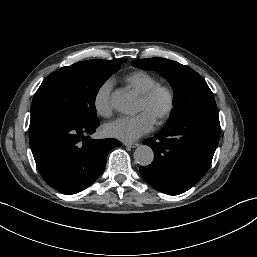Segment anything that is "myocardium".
I'll use <instances>...</instances> for the list:
<instances>
[{"mask_svg": "<svg viewBox=\"0 0 257 257\" xmlns=\"http://www.w3.org/2000/svg\"><path fill=\"white\" fill-rule=\"evenodd\" d=\"M164 95L166 97L167 105L164 112L157 119V124H164L173 114L175 109V95L173 90L163 84H156L152 88H150L147 92L140 95V100L144 103L152 102L158 95Z\"/></svg>", "mask_w": 257, "mask_h": 257, "instance_id": "obj_1", "label": "myocardium"}]
</instances>
